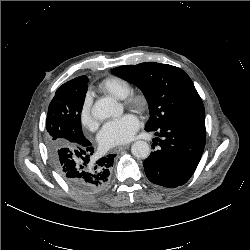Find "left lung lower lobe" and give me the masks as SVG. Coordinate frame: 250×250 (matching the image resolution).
<instances>
[{"instance_id": "0a47b994", "label": "left lung lower lobe", "mask_w": 250, "mask_h": 250, "mask_svg": "<svg viewBox=\"0 0 250 250\" xmlns=\"http://www.w3.org/2000/svg\"><path fill=\"white\" fill-rule=\"evenodd\" d=\"M153 131L159 149L144 161L147 178L154 184L175 188L193 175L204 150L205 120L177 122ZM155 148V147H153Z\"/></svg>"}]
</instances>
